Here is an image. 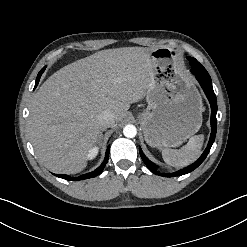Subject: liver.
<instances>
[{"mask_svg": "<svg viewBox=\"0 0 247 247\" xmlns=\"http://www.w3.org/2000/svg\"><path fill=\"white\" fill-rule=\"evenodd\" d=\"M154 49H107L77 60L50 76L33 95L31 142L40 162L54 173L75 174L98 142L103 111L121 121L152 82Z\"/></svg>", "mask_w": 247, "mask_h": 247, "instance_id": "6515ba94", "label": "liver"}]
</instances>
